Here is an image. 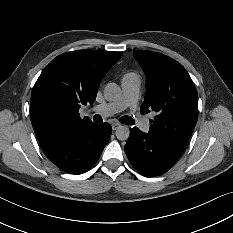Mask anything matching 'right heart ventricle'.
Here are the masks:
<instances>
[{"label": "right heart ventricle", "mask_w": 233, "mask_h": 233, "mask_svg": "<svg viewBox=\"0 0 233 233\" xmlns=\"http://www.w3.org/2000/svg\"><path fill=\"white\" fill-rule=\"evenodd\" d=\"M134 79H139L138 75L135 72H127L123 76V80H134Z\"/></svg>", "instance_id": "e07e8e85"}]
</instances>
